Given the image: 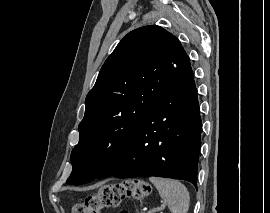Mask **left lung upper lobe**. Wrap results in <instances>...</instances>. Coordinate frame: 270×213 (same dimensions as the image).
I'll list each match as a JSON object with an SVG mask.
<instances>
[{
	"mask_svg": "<svg viewBox=\"0 0 270 213\" xmlns=\"http://www.w3.org/2000/svg\"><path fill=\"white\" fill-rule=\"evenodd\" d=\"M190 60L179 40L149 25L128 33L102 66L85 100L69 184L94 180L122 151Z\"/></svg>",
	"mask_w": 270,
	"mask_h": 213,
	"instance_id": "1",
	"label": "left lung upper lobe"
}]
</instances>
